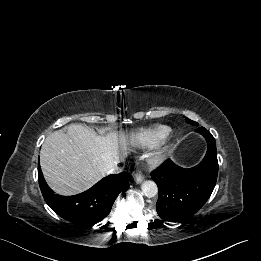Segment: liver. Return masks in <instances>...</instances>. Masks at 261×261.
Here are the masks:
<instances>
[{
    "label": "liver",
    "instance_id": "6515ba94",
    "mask_svg": "<svg viewBox=\"0 0 261 261\" xmlns=\"http://www.w3.org/2000/svg\"><path fill=\"white\" fill-rule=\"evenodd\" d=\"M135 136L130 143L134 145ZM128 154L125 135L110 132L100 136L81 124L67 132L50 134L40 152V166L49 186L62 195L81 193L101 180Z\"/></svg>",
    "mask_w": 261,
    "mask_h": 261
}]
</instances>
